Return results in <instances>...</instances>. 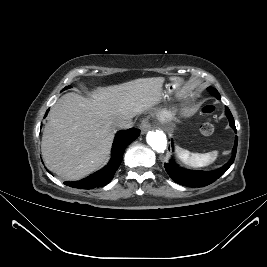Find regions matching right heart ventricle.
<instances>
[{"label": "right heart ventricle", "instance_id": "e07e8e85", "mask_svg": "<svg viewBox=\"0 0 267 267\" xmlns=\"http://www.w3.org/2000/svg\"><path fill=\"white\" fill-rule=\"evenodd\" d=\"M162 114H163V116H168L170 114V112L164 111Z\"/></svg>", "mask_w": 267, "mask_h": 267}]
</instances>
